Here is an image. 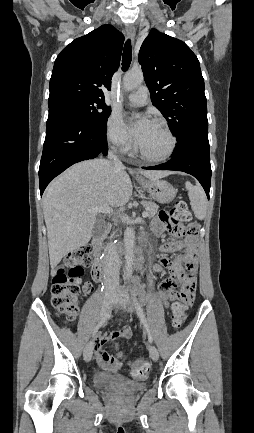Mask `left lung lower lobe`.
<instances>
[{"label": "left lung lower lobe", "instance_id": "0a47b994", "mask_svg": "<svg viewBox=\"0 0 254 433\" xmlns=\"http://www.w3.org/2000/svg\"><path fill=\"white\" fill-rule=\"evenodd\" d=\"M149 170H177L193 175L203 186L209 199L211 166L208 133L193 132L177 142L173 157L166 163L143 167Z\"/></svg>", "mask_w": 254, "mask_h": 433}]
</instances>
